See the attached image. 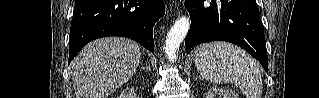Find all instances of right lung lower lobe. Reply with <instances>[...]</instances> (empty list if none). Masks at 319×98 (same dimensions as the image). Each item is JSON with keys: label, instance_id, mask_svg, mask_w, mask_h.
I'll return each instance as SVG.
<instances>
[{"label": "right lung lower lobe", "instance_id": "1", "mask_svg": "<svg viewBox=\"0 0 319 98\" xmlns=\"http://www.w3.org/2000/svg\"><path fill=\"white\" fill-rule=\"evenodd\" d=\"M164 13L163 0H76L69 63L88 42L105 36L127 37L154 52L153 26Z\"/></svg>", "mask_w": 319, "mask_h": 98}]
</instances>
